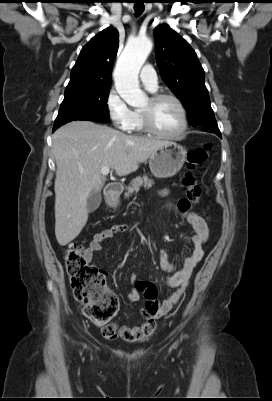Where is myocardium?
<instances>
[{
    "instance_id": "1",
    "label": "myocardium",
    "mask_w": 272,
    "mask_h": 401,
    "mask_svg": "<svg viewBox=\"0 0 272 401\" xmlns=\"http://www.w3.org/2000/svg\"><path fill=\"white\" fill-rule=\"evenodd\" d=\"M163 99L173 100L177 104V106L181 112V117H182V126H181L180 130L173 134H167V133H163V132L159 131L153 124L150 109H140V115H141L143 128L146 132H148L151 135H154L156 137H159V138L177 139V138L181 137L182 135H184V133L186 132V130L188 128V117H187L186 108H185L183 102L181 101V99L171 93H165V92L155 93L149 97V101L151 104H155L156 102L163 100Z\"/></svg>"
}]
</instances>
